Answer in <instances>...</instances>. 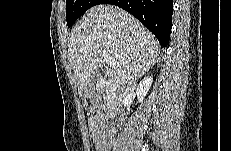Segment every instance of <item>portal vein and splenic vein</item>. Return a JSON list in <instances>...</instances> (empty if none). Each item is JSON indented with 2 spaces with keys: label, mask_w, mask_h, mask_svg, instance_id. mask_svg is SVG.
Here are the masks:
<instances>
[{
  "label": "portal vein and splenic vein",
  "mask_w": 231,
  "mask_h": 151,
  "mask_svg": "<svg viewBox=\"0 0 231 151\" xmlns=\"http://www.w3.org/2000/svg\"><path fill=\"white\" fill-rule=\"evenodd\" d=\"M101 57H102V59H103L107 64H109V65H113V64H114L113 59L108 55L107 52L103 51V52L101 53Z\"/></svg>",
  "instance_id": "1"
}]
</instances>
